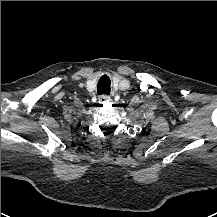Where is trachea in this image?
I'll use <instances>...</instances> for the list:
<instances>
[{"instance_id":"1","label":"trachea","mask_w":217,"mask_h":217,"mask_svg":"<svg viewBox=\"0 0 217 217\" xmlns=\"http://www.w3.org/2000/svg\"><path fill=\"white\" fill-rule=\"evenodd\" d=\"M98 90V94H105V95H109L110 94V79L107 75H103L99 81H98V86H97Z\"/></svg>"}]
</instances>
